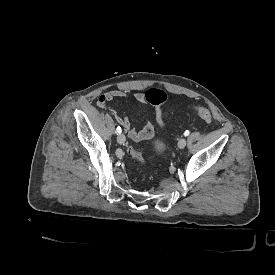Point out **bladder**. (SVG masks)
I'll list each match as a JSON object with an SVG mask.
<instances>
[{"label":"bladder","instance_id":"1","mask_svg":"<svg viewBox=\"0 0 275 275\" xmlns=\"http://www.w3.org/2000/svg\"><path fill=\"white\" fill-rule=\"evenodd\" d=\"M166 143L163 139L161 138H156L155 142H154V147L152 150L156 151V152H162L163 149L165 148Z\"/></svg>","mask_w":275,"mask_h":275}]
</instances>
